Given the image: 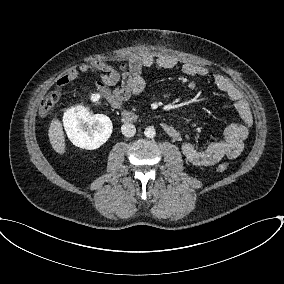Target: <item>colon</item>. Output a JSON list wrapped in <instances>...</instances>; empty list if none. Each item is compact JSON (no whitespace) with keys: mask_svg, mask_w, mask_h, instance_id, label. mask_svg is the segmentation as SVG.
<instances>
[{"mask_svg":"<svg viewBox=\"0 0 284 284\" xmlns=\"http://www.w3.org/2000/svg\"><path fill=\"white\" fill-rule=\"evenodd\" d=\"M122 68H125L124 65H122ZM61 96V93L59 90H54L48 93L43 100L41 101L39 112L40 115L45 117L47 116L51 110L54 108V106L57 104ZM228 168V165L226 163H221L218 165V170L220 172L226 171Z\"/></svg>","mask_w":284,"mask_h":284,"instance_id":"5ec220e1","label":"colon"}]
</instances>
